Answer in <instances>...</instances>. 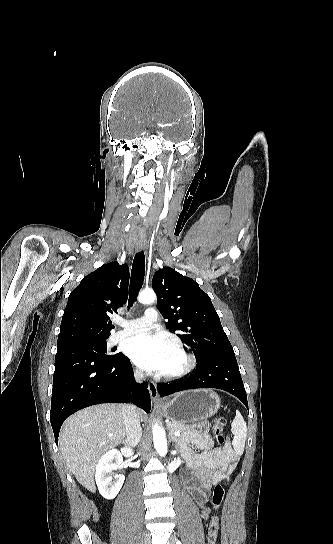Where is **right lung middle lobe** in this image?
Returning a JSON list of instances; mask_svg holds the SVG:
<instances>
[{
  "mask_svg": "<svg viewBox=\"0 0 333 544\" xmlns=\"http://www.w3.org/2000/svg\"><path fill=\"white\" fill-rule=\"evenodd\" d=\"M87 346H89L99 357L103 359H112L117 356V354L109 355L107 354V342L106 340H94L85 342Z\"/></svg>",
  "mask_w": 333,
  "mask_h": 544,
  "instance_id": "dd1d6c3e",
  "label": "right lung middle lobe"
}]
</instances>
